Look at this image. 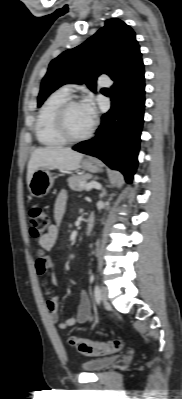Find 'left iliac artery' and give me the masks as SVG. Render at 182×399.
Wrapping results in <instances>:
<instances>
[{
	"mask_svg": "<svg viewBox=\"0 0 182 399\" xmlns=\"http://www.w3.org/2000/svg\"><path fill=\"white\" fill-rule=\"evenodd\" d=\"M94 298H95L96 303L99 304L100 300H101V290L98 285H95V287H94Z\"/></svg>",
	"mask_w": 182,
	"mask_h": 399,
	"instance_id": "1",
	"label": "left iliac artery"
}]
</instances>
